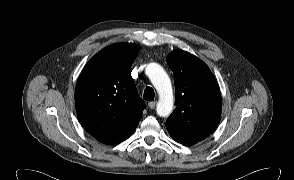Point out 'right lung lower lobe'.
Listing matches in <instances>:
<instances>
[{
    "instance_id": "right-lung-lower-lobe-1",
    "label": "right lung lower lobe",
    "mask_w": 294,
    "mask_h": 180,
    "mask_svg": "<svg viewBox=\"0 0 294 180\" xmlns=\"http://www.w3.org/2000/svg\"><path fill=\"white\" fill-rule=\"evenodd\" d=\"M132 133H133V132H131L130 134H128L124 139H126L127 137H129ZM124 139H123V140H124Z\"/></svg>"
}]
</instances>
